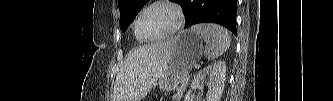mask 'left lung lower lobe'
<instances>
[{
    "label": "left lung lower lobe",
    "instance_id": "1",
    "mask_svg": "<svg viewBox=\"0 0 333 101\" xmlns=\"http://www.w3.org/2000/svg\"><path fill=\"white\" fill-rule=\"evenodd\" d=\"M179 4L184 9L186 28L197 23L212 22L237 35V0H182Z\"/></svg>",
    "mask_w": 333,
    "mask_h": 101
}]
</instances>
